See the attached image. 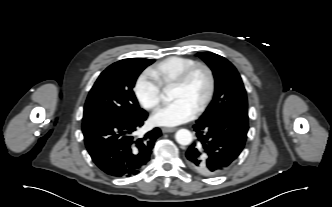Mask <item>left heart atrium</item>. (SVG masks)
<instances>
[{
    "mask_svg": "<svg viewBox=\"0 0 332 207\" xmlns=\"http://www.w3.org/2000/svg\"><path fill=\"white\" fill-rule=\"evenodd\" d=\"M196 110L185 101L178 99L159 108L151 117L157 126L173 127L191 120Z\"/></svg>",
    "mask_w": 332,
    "mask_h": 207,
    "instance_id": "39dd6f15",
    "label": "left heart atrium"
}]
</instances>
